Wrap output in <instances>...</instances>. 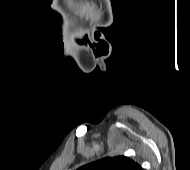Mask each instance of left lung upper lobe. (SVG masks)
<instances>
[{
  "label": "left lung upper lobe",
  "mask_w": 190,
  "mask_h": 170,
  "mask_svg": "<svg viewBox=\"0 0 190 170\" xmlns=\"http://www.w3.org/2000/svg\"><path fill=\"white\" fill-rule=\"evenodd\" d=\"M77 170H143L139 164L125 156L106 157L84 165Z\"/></svg>",
  "instance_id": "obj_1"
}]
</instances>
